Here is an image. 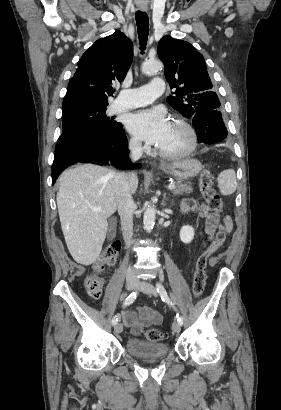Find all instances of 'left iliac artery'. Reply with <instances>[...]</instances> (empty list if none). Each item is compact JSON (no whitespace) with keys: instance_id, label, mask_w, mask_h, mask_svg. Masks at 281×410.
<instances>
[{"instance_id":"1","label":"left iliac artery","mask_w":281,"mask_h":410,"mask_svg":"<svg viewBox=\"0 0 281 410\" xmlns=\"http://www.w3.org/2000/svg\"><path fill=\"white\" fill-rule=\"evenodd\" d=\"M156 289L157 292L159 293L162 301L166 302L167 304H169L170 306L174 307V303L170 300L168 293L166 291V289L164 288V286L160 283H156ZM175 308V307H174ZM177 321L180 323V325L183 324V318L177 313Z\"/></svg>"}]
</instances>
